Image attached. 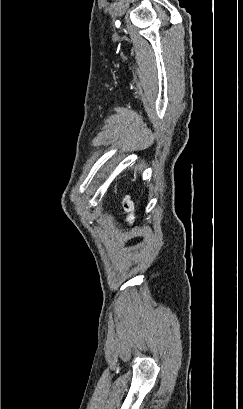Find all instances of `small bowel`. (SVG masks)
<instances>
[{
    "label": "small bowel",
    "mask_w": 243,
    "mask_h": 409,
    "mask_svg": "<svg viewBox=\"0 0 243 409\" xmlns=\"http://www.w3.org/2000/svg\"><path fill=\"white\" fill-rule=\"evenodd\" d=\"M124 208H125L126 211H128L130 213V218L129 219H132L134 204H133L131 199L127 198V199L124 200Z\"/></svg>",
    "instance_id": "1"
}]
</instances>
